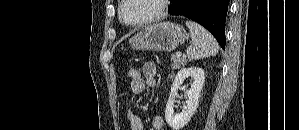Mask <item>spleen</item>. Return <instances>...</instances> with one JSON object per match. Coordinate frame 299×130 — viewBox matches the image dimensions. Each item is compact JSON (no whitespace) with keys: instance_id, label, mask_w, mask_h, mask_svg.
Returning a JSON list of instances; mask_svg holds the SVG:
<instances>
[{"instance_id":"1","label":"spleen","mask_w":299,"mask_h":130,"mask_svg":"<svg viewBox=\"0 0 299 130\" xmlns=\"http://www.w3.org/2000/svg\"><path fill=\"white\" fill-rule=\"evenodd\" d=\"M190 29L192 43L187 49L189 60H198L218 53L219 46L215 38L200 24L193 21H186Z\"/></svg>"}]
</instances>
